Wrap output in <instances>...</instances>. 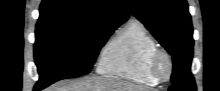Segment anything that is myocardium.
Returning <instances> with one entry per match:
<instances>
[{"instance_id":"obj_1","label":"myocardium","mask_w":220,"mask_h":91,"mask_svg":"<svg viewBox=\"0 0 220 91\" xmlns=\"http://www.w3.org/2000/svg\"><path fill=\"white\" fill-rule=\"evenodd\" d=\"M163 66L166 70L163 71ZM150 74L158 82H166L170 80L173 73V62L169 53L165 50H156L149 60Z\"/></svg>"}]
</instances>
